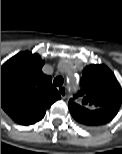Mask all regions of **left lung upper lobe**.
Instances as JSON below:
<instances>
[{"mask_svg": "<svg viewBox=\"0 0 122 154\" xmlns=\"http://www.w3.org/2000/svg\"><path fill=\"white\" fill-rule=\"evenodd\" d=\"M81 97V101H76ZM122 101L121 87L105 65H89L83 70L80 91L69 100L73 117L82 125L102 116L103 109L118 111Z\"/></svg>", "mask_w": 122, "mask_h": 154, "instance_id": "left-lung-upper-lobe-1", "label": "left lung upper lobe"}]
</instances>
